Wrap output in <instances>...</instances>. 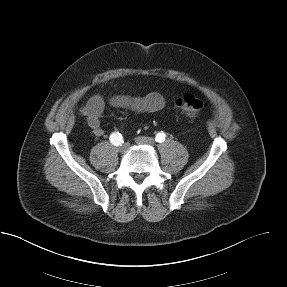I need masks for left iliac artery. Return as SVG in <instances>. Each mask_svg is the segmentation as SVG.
<instances>
[{
    "label": "left iliac artery",
    "mask_w": 287,
    "mask_h": 287,
    "mask_svg": "<svg viewBox=\"0 0 287 287\" xmlns=\"http://www.w3.org/2000/svg\"><path fill=\"white\" fill-rule=\"evenodd\" d=\"M165 138H166L165 133L159 132V133L156 135L155 140H156V142L162 143V142L165 141Z\"/></svg>",
    "instance_id": "44dca946"
}]
</instances>
